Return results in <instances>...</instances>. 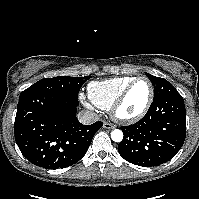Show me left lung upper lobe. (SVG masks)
<instances>
[{
  "label": "left lung upper lobe",
  "mask_w": 199,
  "mask_h": 199,
  "mask_svg": "<svg viewBox=\"0 0 199 199\" xmlns=\"http://www.w3.org/2000/svg\"><path fill=\"white\" fill-rule=\"evenodd\" d=\"M146 75L154 86L153 101L158 100L165 96L178 94V91L167 80L153 76L149 73H146Z\"/></svg>",
  "instance_id": "obj_1"
}]
</instances>
